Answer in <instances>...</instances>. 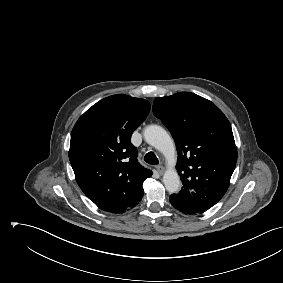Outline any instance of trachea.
Wrapping results in <instances>:
<instances>
[{
    "instance_id": "1",
    "label": "trachea",
    "mask_w": 283,
    "mask_h": 283,
    "mask_svg": "<svg viewBox=\"0 0 283 283\" xmlns=\"http://www.w3.org/2000/svg\"><path fill=\"white\" fill-rule=\"evenodd\" d=\"M144 161L150 165H157L159 163L158 158L153 152H148L144 157Z\"/></svg>"
}]
</instances>
